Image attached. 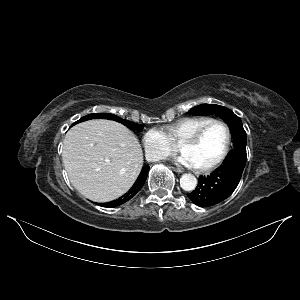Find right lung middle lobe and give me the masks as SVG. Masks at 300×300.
I'll return each instance as SVG.
<instances>
[{
    "label": "right lung middle lobe",
    "mask_w": 300,
    "mask_h": 300,
    "mask_svg": "<svg viewBox=\"0 0 300 300\" xmlns=\"http://www.w3.org/2000/svg\"><path fill=\"white\" fill-rule=\"evenodd\" d=\"M93 118L94 119L95 118H102V119L114 120V121H117L119 123H122L123 125H125L126 127L130 128V129L136 130V131H140L143 128L142 125H140V124H136V123H133V122L128 121V120L120 119L116 115L108 114V113L89 114L87 116L82 117L78 121H76L73 125H75L79 122L85 121V120L93 119Z\"/></svg>",
    "instance_id": "dd1d6c3e"
}]
</instances>
